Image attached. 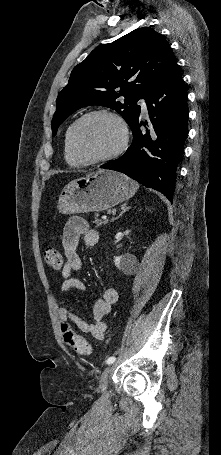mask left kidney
<instances>
[{
  "label": "left kidney",
  "instance_id": "1",
  "mask_svg": "<svg viewBox=\"0 0 221 455\" xmlns=\"http://www.w3.org/2000/svg\"><path fill=\"white\" fill-rule=\"evenodd\" d=\"M136 260V257L132 254L126 253L124 255L114 258L115 266L119 269L125 270L130 268Z\"/></svg>",
  "mask_w": 221,
  "mask_h": 455
}]
</instances>
